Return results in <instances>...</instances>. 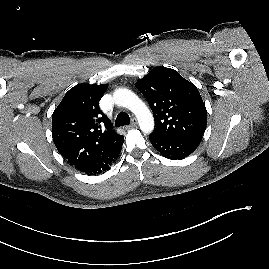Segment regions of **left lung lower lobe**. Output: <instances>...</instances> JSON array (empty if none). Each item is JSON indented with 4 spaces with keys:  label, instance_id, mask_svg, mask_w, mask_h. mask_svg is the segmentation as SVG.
<instances>
[{
    "label": "left lung lower lobe",
    "instance_id": "left-lung-lower-lobe-1",
    "mask_svg": "<svg viewBox=\"0 0 269 269\" xmlns=\"http://www.w3.org/2000/svg\"><path fill=\"white\" fill-rule=\"evenodd\" d=\"M150 142L164 157L181 160L195 151L200 139H168L150 135Z\"/></svg>",
    "mask_w": 269,
    "mask_h": 269
}]
</instances>
